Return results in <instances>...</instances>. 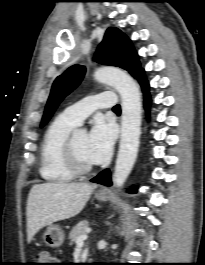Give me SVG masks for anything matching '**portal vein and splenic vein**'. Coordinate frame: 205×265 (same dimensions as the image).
<instances>
[{
  "instance_id": "obj_1",
  "label": "portal vein and splenic vein",
  "mask_w": 205,
  "mask_h": 265,
  "mask_svg": "<svg viewBox=\"0 0 205 265\" xmlns=\"http://www.w3.org/2000/svg\"><path fill=\"white\" fill-rule=\"evenodd\" d=\"M87 238H88V236H87L86 234H85V235H82V236H80V237H78L77 240H76V244H77V246H79V247L83 246L84 241H85Z\"/></svg>"
}]
</instances>
